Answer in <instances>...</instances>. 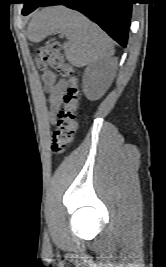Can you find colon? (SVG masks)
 I'll use <instances>...</instances> for the list:
<instances>
[{"label":"colon","mask_w":166,"mask_h":267,"mask_svg":"<svg viewBox=\"0 0 166 267\" xmlns=\"http://www.w3.org/2000/svg\"><path fill=\"white\" fill-rule=\"evenodd\" d=\"M36 64L40 70L47 67L53 68L56 73L45 72L44 84L51 88L57 76L69 79V86L63 95V106L59 110L52 132L51 150L54 154H60L72 141L76 131V115L79 107L80 90L73 68L68 64L61 51V46L56 41H50L42 46L37 53Z\"/></svg>","instance_id":"colon-1"}]
</instances>
